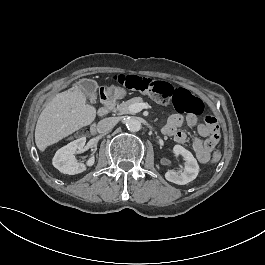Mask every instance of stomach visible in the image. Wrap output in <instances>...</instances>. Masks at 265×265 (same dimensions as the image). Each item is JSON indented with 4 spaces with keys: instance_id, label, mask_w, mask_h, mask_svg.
Returning a JSON list of instances; mask_svg holds the SVG:
<instances>
[{
    "instance_id": "1",
    "label": "stomach",
    "mask_w": 265,
    "mask_h": 265,
    "mask_svg": "<svg viewBox=\"0 0 265 265\" xmlns=\"http://www.w3.org/2000/svg\"><path fill=\"white\" fill-rule=\"evenodd\" d=\"M121 88H117V87H114V88H109L108 89V94L113 96L114 98H120L121 97Z\"/></svg>"
}]
</instances>
